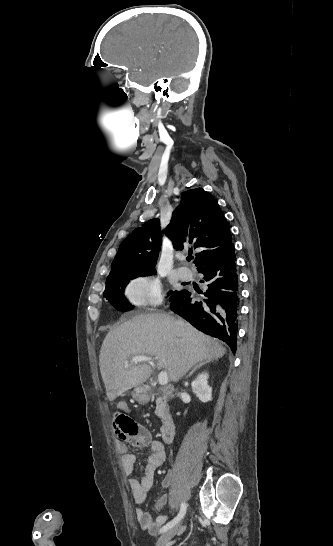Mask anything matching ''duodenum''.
Segmentation results:
<instances>
[{"mask_svg": "<svg viewBox=\"0 0 333 546\" xmlns=\"http://www.w3.org/2000/svg\"><path fill=\"white\" fill-rule=\"evenodd\" d=\"M162 392L165 396L169 397L173 392V388L170 386H166L163 388ZM143 393L147 395L149 393V390L146 388L143 390ZM161 421H162V426L160 429L161 439L165 443L173 442L175 438L176 430H175V423L170 413L165 412Z\"/></svg>", "mask_w": 333, "mask_h": 546, "instance_id": "1", "label": "duodenum"}]
</instances>
